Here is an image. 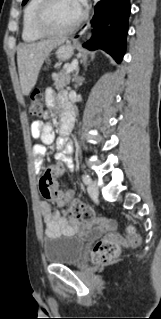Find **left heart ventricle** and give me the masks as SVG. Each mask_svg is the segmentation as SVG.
Listing matches in <instances>:
<instances>
[{
  "label": "left heart ventricle",
  "instance_id": "obj_1",
  "mask_svg": "<svg viewBox=\"0 0 161 319\" xmlns=\"http://www.w3.org/2000/svg\"><path fill=\"white\" fill-rule=\"evenodd\" d=\"M78 0H54L45 18V24L51 30L68 27L79 15Z\"/></svg>",
  "mask_w": 161,
  "mask_h": 319
}]
</instances>
